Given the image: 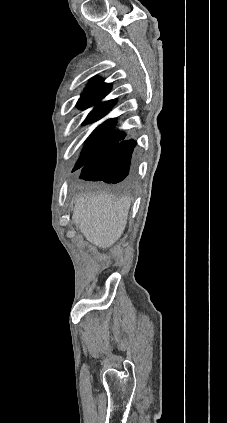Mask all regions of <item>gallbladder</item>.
Wrapping results in <instances>:
<instances>
[{"instance_id": "1", "label": "gallbladder", "mask_w": 227, "mask_h": 423, "mask_svg": "<svg viewBox=\"0 0 227 423\" xmlns=\"http://www.w3.org/2000/svg\"><path fill=\"white\" fill-rule=\"evenodd\" d=\"M86 186H89V188H96L99 184H86Z\"/></svg>"}]
</instances>
